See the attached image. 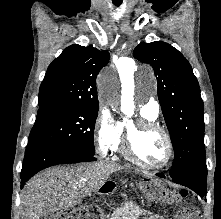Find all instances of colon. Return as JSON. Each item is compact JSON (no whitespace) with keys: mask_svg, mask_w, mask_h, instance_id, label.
Segmentation results:
<instances>
[{"mask_svg":"<svg viewBox=\"0 0 221 219\" xmlns=\"http://www.w3.org/2000/svg\"><path fill=\"white\" fill-rule=\"evenodd\" d=\"M181 196H185L186 192L181 191ZM88 214L83 209L69 210L59 216L58 219H87ZM175 219H200V213L195 207L183 208L179 211Z\"/></svg>","mask_w":221,"mask_h":219,"instance_id":"5ec220e1","label":"colon"}]
</instances>
